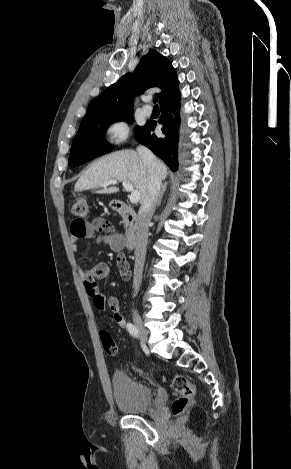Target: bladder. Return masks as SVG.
I'll use <instances>...</instances> for the list:
<instances>
[{
	"label": "bladder",
	"mask_w": 291,
	"mask_h": 469,
	"mask_svg": "<svg viewBox=\"0 0 291 469\" xmlns=\"http://www.w3.org/2000/svg\"><path fill=\"white\" fill-rule=\"evenodd\" d=\"M114 402L119 410L127 414L147 411L153 402L151 388L130 377L123 370H115L112 375Z\"/></svg>",
	"instance_id": "1"
}]
</instances>
